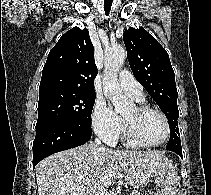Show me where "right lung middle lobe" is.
Returning a JSON list of instances; mask_svg holds the SVG:
<instances>
[{
  "mask_svg": "<svg viewBox=\"0 0 211 195\" xmlns=\"http://www.w3.org/2000/svg\"><path fill=\"white\" fill-rule=\"evenodd\" d=\"M96 94L69 89L39 92L36 130L51 124L81 125L91 128Z\"/></svg>",
  "mask_w": 211,
  "mask_h": 195,
  "instance_id": "dd1d6c3e",
  "label": "right lung middle lobe"
}]
</instances>
